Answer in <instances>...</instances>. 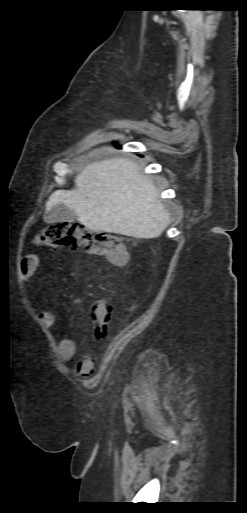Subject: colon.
Here are the masks:
<instances>
[{
    "label": "colon",
    "mask_w": 247,
    "mask_h": 513,
    "mask_svg": "<svg viewBox=\"0 0 247 513\" xmlns=\"http://www.w3.org/2000/svg\"><path fill=\"white\" fill-rule=\"evenodd\" d=\"M41 237L49 245L80 247L91 254L107 256L116 265H127L130 260L128 249L117 236L91 231L78 223L52 224L44 229ZM90 312L95 335L101 338L112 322L113 305L110 300H93Z\"/></svg>",
    "instance_id": "5ec220e1"
}]
</instances>
